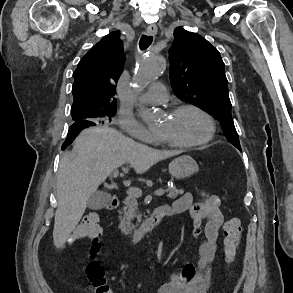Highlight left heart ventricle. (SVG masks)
Wrapping results in <instances>:
<instances>
[{
	"instance_id": "left-heart-ventricle-1",
	"label": "left heart ventricle",
	"mask_w": 293,
	"mask_h": 293,
	"mask_svg": "<svg viewBox=\"0 0 293 293\" xmlns=\"http://www.w3.org/2000/svg\"><path fill=\"white\" fill-rule=\"evenodd\" d=\"M208 131L206 120L197 112L184 111L175 116H166L157 132L181 142H196Z\"/></svg>"
}]
</instances>
